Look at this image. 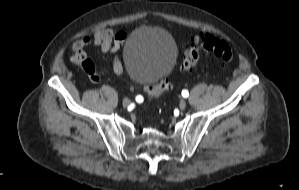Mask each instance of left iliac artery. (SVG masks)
<instances>
[{
    "instance_id": "1",
    "label": "left iliac artery",
    "mask_w": 299,
    "mask_h": 190,
    "mask_svg": "<svg viewBox=\"0 0 299 190\" xmlns=\"http://www.w3.org/2000/svg\"><path fill=\"white\" fill-rule=\"evenodd\" d=\"M182 96H183L184 98H187V97L189 96V92H188L187 90H183V91H182Z\"/></svg>"
}]
</instances>
